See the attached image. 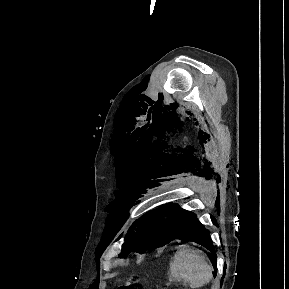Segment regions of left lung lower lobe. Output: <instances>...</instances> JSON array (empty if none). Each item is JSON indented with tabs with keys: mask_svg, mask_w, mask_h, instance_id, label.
I'll use <instances>...</instances> for the list:
<instances>
[{
	"mask_svg": "<svg viewBox=\"0 0 289 289\" xmlns=\"http://www.w3.org/2000/svg\"><path fill=\"white\" fill-rule=\"evenodd\" d=\"M162 214L168 218V242L173 239L189 240L207 248L215 254L209 231L197 220L196 214L178 209L176 204H168L162 208ZM216 270V265L213 264Z\"/></svg>",
	"mask_w": 289,
	"mask_h": 289,
	"instance_id": "1",
	"label": "left lung lower lobe"
}]
</instances>
